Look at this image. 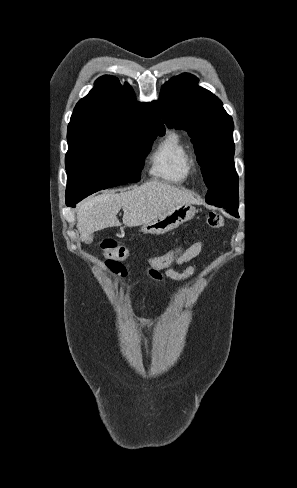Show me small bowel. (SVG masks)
Listing matches in <instances>:
<instances>
[{"label":"small bowel","mask_w":297,"mask_h":488,"mask_svg":"<svg viewBox=\"0 0 297 488\" xmlns=\"http://www.w3.org/2000/svg\"><path fill=\"white\" fill-rule=\"evenodd\" d=\"M203 248L204 241L199 240L191 242L185 252L173 264V266L186 265L183 271L178 272L172 268L165 269L163 272L152 270L151 276L153 279L158 281H161L163 278H167L175 284L185 283L196 272L197 265L195 260L201 254Z\"/></svg>","instance_id":"obj_1"}]
</instances>
